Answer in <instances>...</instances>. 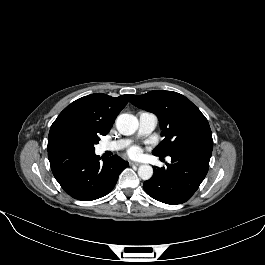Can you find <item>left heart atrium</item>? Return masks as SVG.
I'll list each match as a JSON object with an SVG mask.
<instances>
[{
	"label": "left heart atrium",
	"mask_w": 265,
	"mask_h": 265,
	"mask_svg": "<svg viewBox=\"0 0 265 265\" xmlns=\"http://www.w3.org/2000/svg\"><path fill=\"white\" fill-rule=\"evenodd\" d=\"M127 154L131 158H139L142 154V149L138 146H132L128 149Z\"/></svg>",
	"instance_id": "obj_1"
}]
</instances>
